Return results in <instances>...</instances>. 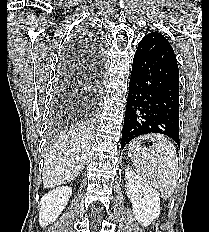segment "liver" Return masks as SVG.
I'll list each match as a JSON object with an SVG mask.
<instances>
[{"label": "liver", "mask_w": 209, "mask_h": 232, "mask_svg": "<svg viewBox=\"0 0 209 232\" xmlns=\"http://www.w3.org/2000/svg\"><path fill=\"white\" fill-rule=\"evenodd\" d=\"M90 153V136L84 127L59 135L44 158V188H53L73 180L84 169Z\"/></svg>", "instance_id": "1"}]
</instances>
